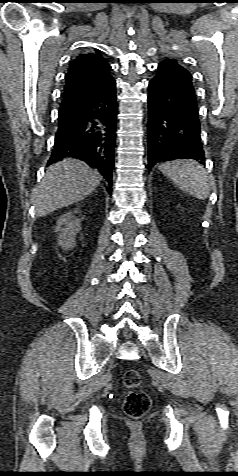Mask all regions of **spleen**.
Here are the masks:
<instances>
[{
    "label": "spleen",
    "instance_id": "1",
    "mask_svg": "<svg viewBox=\"0 0 238 476\" xmlns=\"http://www.w3.org/2000/svg\"><path fill=\"white\" fill-rule=\"evenodd\" d=\"M159 170L182 191L205 200L210 193L206 170L191 159H178L159 165Z\"/></svg>",
    "mask_w": 238,
    "mask_h": 476
}]
</instances>
